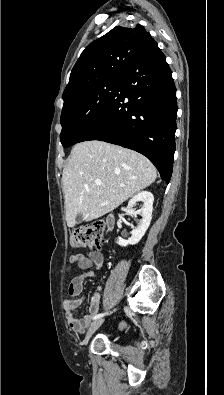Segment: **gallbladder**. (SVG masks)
I'll return each instance as SVG.
<instances>
[{
    "label": "gallbladder",
    "instance_id": "bac80fb5",
    "mask_svg": "<svg viewBox=\"0 0 224 395\" xmlns=\"http://www.w3.org/2000/svg\"><path fill=\"white\" fill-rule=\"evenodd\" d=\"M83 221V216H82V214L79 212L78 214H77V216H76V222H77V224L78 223H81Z\"/></svg>",
    "mask_w": 224,
    "mask_h": 395
}]
</instances>
